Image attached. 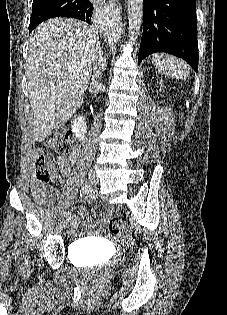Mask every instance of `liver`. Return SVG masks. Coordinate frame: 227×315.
Returning <instances> with one entry per match:
<instances>
[{"label": "liver", "instance_id": "6515ba94", "mask_svg": "<svg viewBox=\"0 0 227 315\" xmlns=\"http://www.w3.org/2000/svg\"><path fill=\"white\" fill-rule=\"evenodd\" d=\"M100 50L98 31L83 21L56 18L33 31L26 77L36 141H43L80 108L95 62L104 67Z\"/></svg>", "mask_w": 227, "mask_h": 315}]
</instances>
